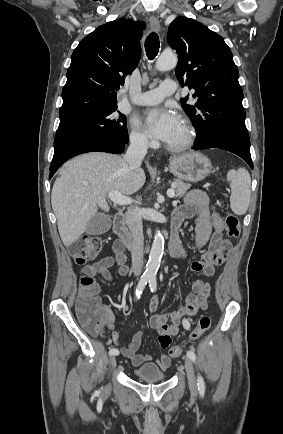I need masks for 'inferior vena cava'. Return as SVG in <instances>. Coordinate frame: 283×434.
I'll list each match as a JSON object with an SVG mask.
<instances>
[{
	"instance_id": "obj_1",
	"label": "inferior vena cava",
	"mask_w": 283,
	"mask_h": 434,
	"mask_svg": "<svg viewBox=\"0 0 283 434\" xmlns=\"http://www.w3.org/2000/svg\"><path fill=\"white\" fill-rule=\"evenodd\" d=\"M148 142L138 137L131 140L130 146L124 155V160L132 167L139 168L147 153ZM126 224L132 235L131 257L132 268L136 276L141 274L143 267L144 236L140 209L129 208L126 212Z\"/></svg>"
}]
</instances>
